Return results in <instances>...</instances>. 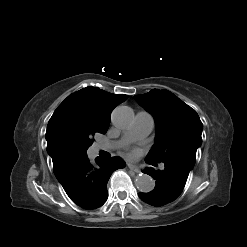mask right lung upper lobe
Wrapping results in <instances>:
<instances>
[{
  "label": "right lung upper lobe",
  "instance_id": "cb5924a9",
  "mask_svg": "<svg viewBox=\"0 0 247 247\" xmlns=\"http://www.w3.org/2000/svg\"><path fill=\"white\" fill-rule=\"evenodd\" d=\"M128 98L98 88L87 87L68 96L49 120L47 152L53 165L61 160L86 157L82 141L95 133H106L113 108Z\"/></svg>",
  "mask_w": 247,
  "mask_h": 247
}]
</instances>
